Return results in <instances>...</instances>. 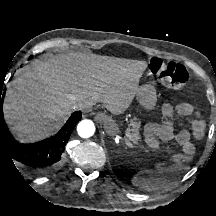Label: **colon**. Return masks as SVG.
Listing matches in <instances>:
<instances>
[{
    "mask_svg": "<svg viewBox=\"0 0 216 216\" xmlns=\"http://www.w3.org/2000/svg\"><path fill=\"white\" fill-rule=\"evenodd\" d=\"M149 69L162 83L175 90H183L189 79V74L183 65L166 63L159 58L150 61Z\"/></svg>",
    "mask_w": 216,
    "mask_h": 216,
    "instance_id": "colon-1",
    "label": "colon"
}]
</instances>
